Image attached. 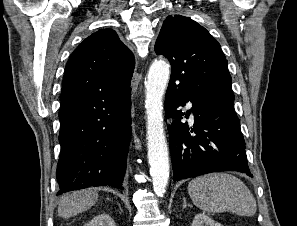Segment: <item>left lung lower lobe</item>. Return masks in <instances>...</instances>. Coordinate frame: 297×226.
<instances>
[{"label":"left lung lower lobe","mask_w":297,"mask_h":226,"mask_svg":"<svg viewBox=\"0 0 297 226\" xmlns=\"http://www.w3.org/2000/svg\"><path fill=\"white\" fill-rule=\"evenodd\" d=\"M187 101L193 104L191 130L180 122L183 114L176 110ZM165 112L167 118L176 119L168 129L174 181L218 171H238L253 177L234 99L203 97L170 80Z\"/></svg>","instance_id":"obj_1"}]
</instances>
